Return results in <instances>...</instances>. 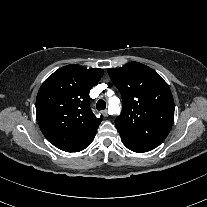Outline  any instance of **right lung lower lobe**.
I'll use <instances>...</instances> for the list:
<instances>
[{"label":"right lung lower lobe","instance_id":"98d812e1","mask_svg":"<svg viewBox=\"0 0 207 207\" xmlns=\"http://www.w3.org/2000/svg\"><path fill=\"white\" fill-rule=\"evenodd\" d=\"M91 141H92V139L89 142H87L85 145H83L78 151H82L83 149H85L91 143ZM78 151H76V152H78Z\"/></svg>","mask_w":207,"mask_h":207}]
</instances>
